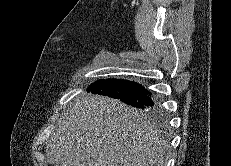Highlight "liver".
Masks as SVG:
<instances>
[{"label": "liver", "mask_w": 231, "mask_h": 166, "mask_svg": "<svg viewBox=\"0 0 231 166\" xmlns=\"http://www.w3.org/2000/svg\"><path fill=\"white\" fill-rule=\"evenodd\" d=\"M167 141L141 111L104 96H81L47 146L54 166H164Z\"/></svg>", "instance_id": "1"}]
</instances>
